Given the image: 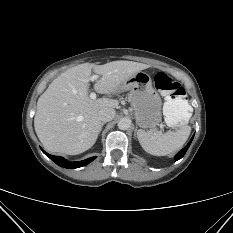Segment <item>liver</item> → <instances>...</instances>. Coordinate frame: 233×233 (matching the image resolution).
I'll list each match as a JSON object with an SVG mask.
<instances>
[{
  "instance_id": "liver-1",
  "label": "liver",
  "mask_w": 233,
  "mask_h": 233,
  "mask_svg": "<svg viewBox=\"0 0 233 233\" xmlns=\"http://www.w3.org/2000/svg\"><path fill=\"white\" fill-rule=\"evenodd\" d=\"M149 68L132 61H112L103 65L83 63L55 78L37 101L35 132L46 150L77 155L91 148L100 133L102 109H114L119 102L88 95L92 71L101 77L94 84L100 94L115 93L133 74Z\"/></svg>"
}]
</instances>
